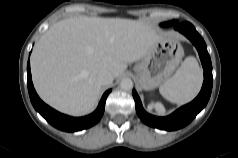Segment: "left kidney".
I'll return each instance as SVG.
<instances>
[{
  "mask_svg": "<svg viewBox=\"0 0 238 158\" xmlns=\"http://www.w3.org/2000/svg\"><path fill=\"white\" fill-rule=\"evenodd\" d=\"M155 108L159 113H163L164 112V107L162 106V104L160 103H156L155 104Z\"/></svg>",
  "mask_w": 238,
  "mask_h": 158,
  "instance_id": "5707ae66",
  "label": "left kidney"
}]
</instances>
